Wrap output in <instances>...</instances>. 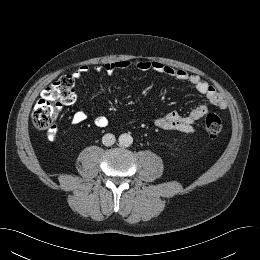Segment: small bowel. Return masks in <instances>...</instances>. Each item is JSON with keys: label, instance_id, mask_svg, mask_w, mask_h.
<instances>
[{"label": "small bowel", "instance_id": "small-bowel-1", "mask_svg": "<svg viewBox=\"0 0 260 260\" xmlns=\"http://www.w3.org/2000/svg\"><path fill=\"white\" fill-rule=\"evenodd\" d=\"M131 66H135L141 71H153L158 74L173 77L177 80L189 83L197 92L207 97L209 102L218 109H225L227 103L220 93L208 82L201 79L199 76L190 74L182 69H178L169 65H165L158 61L138 60L135 62L128 60L112 61L98 66L97 71H103L111 74L117 70H124ZM88 71V66L83 65L73 72L75 78L82 77ZM208 112V107L205 104L199 105L191 110L186 115H181L175 111L169 112L155 120V125L162 130H177L185 133L194 131V124ZM87 118V114L83 110H79L72 116V123L79 125ZM95 124L98 127H105L108 124V119L104 115L95 118ZM55 133H50V139L54 138Z\"/></svg>", "mask_w": 260, "mask_h": 260}]
</instances>
